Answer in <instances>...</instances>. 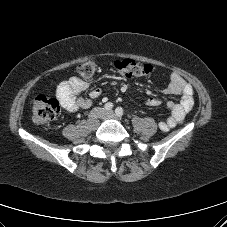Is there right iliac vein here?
<instances>
[{"label": "right iliac vein", "mask_w": 227, "mask_h": 227, "mask_svg": "<svg viewBox=\"0 0 227 227\" xmlns=\"http://www.w3.org/2000/svg\"><path fill=\"white\" fill-rule=\"evenodd\" d=\"M105 115L104 110L101 108H97L94 109L90 115H89V119H88V124L91 128H96V126L98 125V120L100 118H103Z\"/></svg>", "instance_id": "63e3f726"}]
</instances>
